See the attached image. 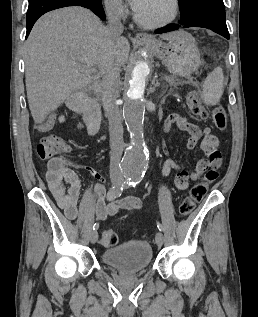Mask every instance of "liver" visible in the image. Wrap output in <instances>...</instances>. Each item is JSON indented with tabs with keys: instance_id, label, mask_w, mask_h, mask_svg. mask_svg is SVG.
<instances>
[{
	"instance_id": "obj_1",
	"label": "liver",
	"mask_w": 258,
	"mask_h": 317,
	"mask_svg": "<svg viewBox=\"0 0 258 317\" xmlns=\"http://www.w3.org/2000/svg\"><path fill=\"white\" fill-rule=\"evenodd\" d=\"M176 40L177 32L160 34ZM130 50L128 38H111L100 18L83 6L46 12L35 22L24 46L25 82L31 114L41 124L76 90L98 78L107 58L123 66ZM92 64V66H84Z\"/></svg>"
}]
</instances>
